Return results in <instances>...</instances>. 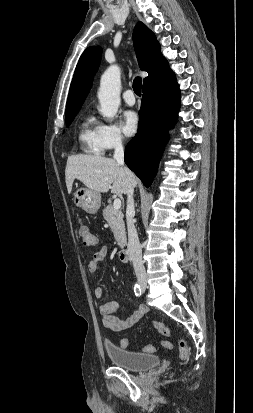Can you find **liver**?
<instances>
[{
  "mask_svg": "<svg viewBox=\"0 0 253 413\" xmlns=\"http://www.w3.org/2000/svg\"><path fill=\"white\" fill-rule=\"evenodd\" d=\"M75 179L81 181L89 189L113 194H126L129 187H135L137 179L128 168L119 165L115 159L99 155L69 156L65 169V180L68 193L72 191Z\"/></svg>",
  "mask_w": 253,
  "mask_h": 413,
  "instance_id": "6515ba94",
  "label": "liver"
}]
</instances>
